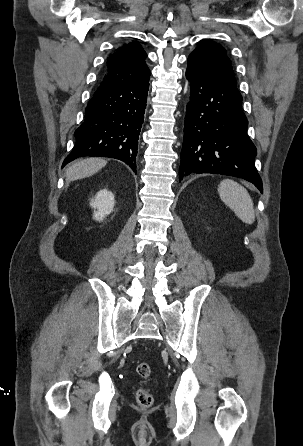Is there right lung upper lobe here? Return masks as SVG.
Here are the masks:
<instances>
[{
    "label": "right lung upper lobe",
    "instance_id": "right-lung-upper-lobe-1",
    "mask_svg": "<svg viewBox=\"0 0 303 446\" xmlns=\"http://www.w3.org/2000/svg\"><path fill=\"white\" fill-rule=\"evenodd\" d=\"M146 56L143 48L136 42L116 49L108 58L106 74L96 92L148 76L150 70L144 61Z\"/></svg>",
    "mask_w": 303,
    "mask_h": 446
}]
</instances>
